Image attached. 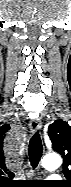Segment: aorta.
<instances>
[{
	"mask_svg": "<svg viewBox=\"0 0 71 187\" xmlns=\"http://www.w3.org/2000/svg\"><path fill=\"white\" fill-rule=\"evenodd\" d=\"M62 164V159L57 153L47 154L42 160V166L46 170H55Z\"/></svg>",
	"mask_w": 71,
	"mask_h": 187,
	"instance_id": "762f6f07",
	"label": "aorta"
}]
</instances>
